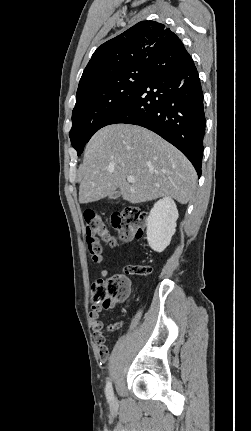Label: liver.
Masks as SVG:
<instances>
[{
	"instance_id": "liver-1",
	"label": "liver",
	"mask_w": 251,
	"mask_h": 431,
	"mask_svg": "<svg viewBox=\"0 0 251 431\" xmlns=\"http://www.w3.org/2000/svg\"><path fill=\"white\" fill-rule=\"evenodd\" d=\"M80 175L81 204L105 198L118 188L132 204L164 196L186 204L197 180L190 161L173 145L143 127L122 123L94 134L86 146ZM128 176L135 181L129 183Z\"/></svg>"
}]
</instances>
